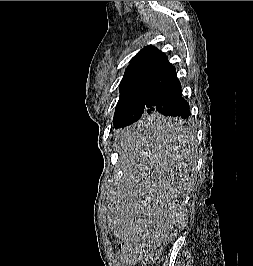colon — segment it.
<instances>
[{
	"label": "colon",
	"mask_w": 253,
	"mask_h": 266,
	"mask_svg": "<svg viewBox=\"0 0 253 266\" xmlns=\"http://www.w3.org/2000/svg\"><path fill=\"white\" fill-rule=\"evenodd\" d=\"M160 248H123L119 245L118 253L121 258L127 260L139 259L144 265L157 259Z\"/></svg>",
	"instance_id": "1"
}]
</instances>
